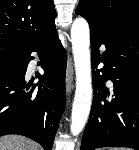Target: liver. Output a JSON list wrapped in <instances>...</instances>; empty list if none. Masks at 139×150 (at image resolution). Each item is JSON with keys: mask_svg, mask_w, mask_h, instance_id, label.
Instances as JSON below:
<instances>
[{"mask_svg": "<svg viewBox=\"0 0 139 150\" xmlns=\"http://www.w3.org/2000/svg\"><path fill=\"white\" fill-rule=\"evenodd\" d=\"M0 150H39V146L22 136L0 137Z\"/></svg>", "mask_w": 139, "mask_h": 150, "instance_id": "liver-1", "label": "liver"}]
</instances>
